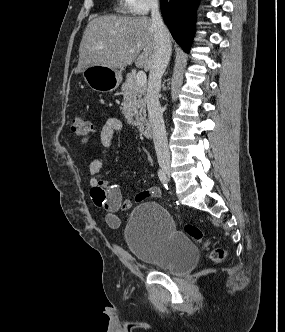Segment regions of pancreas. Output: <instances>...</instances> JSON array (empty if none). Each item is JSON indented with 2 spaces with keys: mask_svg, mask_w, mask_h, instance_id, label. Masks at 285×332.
Here are the masks:
<instances>
[{
  "mask_svg": "<svg viewBox=\"0 0 285 332\" xmlns=\"http://www.w3.org/2000/svg\"><path fill=\"white\" fill-rule=\"evenodd\" d=\"M123 107L122 113L125 118L134 125L141 127L146 122V86H138L136 74L129 73L123 83Z\"/></svg>",
  "mask_w": 285,
  "mask_h": 332,
  "instance_id": "1",
  "label": "pancreas"
}]
</instances>
